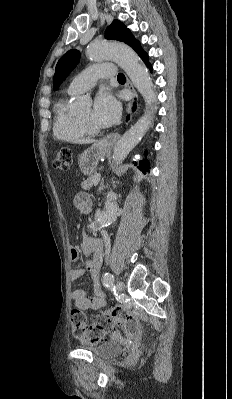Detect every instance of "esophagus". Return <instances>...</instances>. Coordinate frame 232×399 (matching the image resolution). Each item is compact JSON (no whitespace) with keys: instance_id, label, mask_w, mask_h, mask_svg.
<instances>
[{"instance_id":"obj_1","label":"esophagus","mask_w":232,"mask_h":399,"mask_svg":"<svg viewBox=\"0 0 232 399\" xmlns=\"http://www.w3.org/2000/svg\"><path fill=\"white\" fill-rule=\"evenodd\" d=\"M127 87L135 95V93H136L135 89L128 79H127ZM131 106H132V102H130L127 106V111H128V114H130V115H132ZM118 138H119L118 133L108 134V135H105L104 137H102L100 140H98L96 145L99 147H103V148H110L114 145V143L117 141Z\"/></svg>"}]
</instances>
